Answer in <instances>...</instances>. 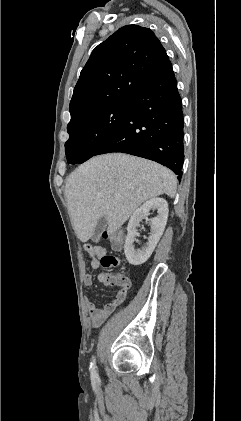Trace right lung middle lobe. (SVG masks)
I'll return each mask as SVG.
<instances>
[{
    "label": "right lung middle lobe",
    "instance_id": "1",
    "mask_svg": "<svg viewBox=\"0 0 241 421\" xmlns=\"http://www.w3.org/2000/svg\"><path fill=\"white\" fill-rule=\"evenodd\" d=\"M128 100L93 111L67 126L69 139L65 143L67 161L83 163L118 131L124 122Z\"/></svg>",
    "mask_w": 241,
    "mask_h": 421
}]
</instances>
